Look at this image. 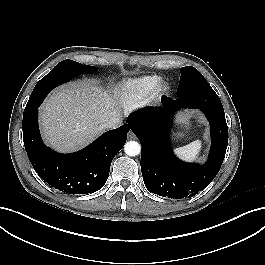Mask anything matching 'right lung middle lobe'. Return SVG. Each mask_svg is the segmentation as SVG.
<instances>
[{
    "label": "right lung middle lobe",
    "mask_w": 265,
    "mask_h": 265,
    "mask_svg": "<svg viewBox=\"0 0 265 265\" xmlns=\"http://www.w3.org/2000/svg\"><path fill=\"white\" fill-rule=\"evenodd\" d=\"M96 67L82 65L73 60H64L57 64L46 76H44L32 91L24 113L35 108V106L43 100L46 95L58 85L68 82L74 76L81 73L94 72Z\"/></svg>",
    "instance_id": "dd1d6c3e"
}]
</instances>
